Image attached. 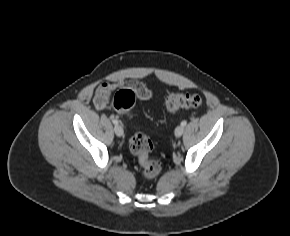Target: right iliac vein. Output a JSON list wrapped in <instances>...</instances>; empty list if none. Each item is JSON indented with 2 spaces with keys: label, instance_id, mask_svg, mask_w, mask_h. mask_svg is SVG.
Returning a JSON list of instances; mask_svg holds the SVG:
<instances>
[{
  "label": "right iliac vein",
  "instance_id": "right-iliac-vein-1",
  "mask_svg": "<svg viewBox=\"0 0 290 236\" xmlns=\"http://www.w3.org/2000/svg\"><path fill=\"white\" fill-rule=\"evenodd\" d=\"M114 131H115V134L118 136V137H121L123 136L124 134V130H123V127L121 125H116L114 127Z\"/></svg>",
  "mask_w": 290,
  "mask_h": 236
}]
</instances>
